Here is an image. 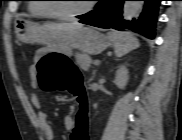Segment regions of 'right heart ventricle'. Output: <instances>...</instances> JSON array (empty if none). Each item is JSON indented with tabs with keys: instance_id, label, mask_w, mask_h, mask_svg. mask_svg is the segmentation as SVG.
Listing matches in <instances>:
<instances>
[{
	"instance_id": "right-heart-ventricle-1",
	"label": "right heart ventricle",
	"mask_w": 182,
	"mask_h": 140,
	"mask_svg": "<svg viewBox=\"0 0 182 140\" xmlns=\"http://www.w3.org/2000/svg\"><path fill=\"white\" fill-rule=\"evenodd\" d=\"M32 2L28 5V12L34 17H47L51 16L46 4L39 3L43 0H31Z\"/></svg>"
}]
</instances>
